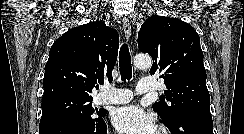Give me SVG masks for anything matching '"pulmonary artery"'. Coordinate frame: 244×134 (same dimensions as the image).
<instances>
[{"instance_id":"1","label":"pulmonary artery","mask_w":244,"mask_h":134,"mask_svg":"<svg viewBox=\"0 0 244 134\" xmlns=\"http://www.w3.org/2000/svg\"><path fill=\"white\" fill-rule=\"evenodd\" d=\"M163 87L150 78H143L137 86V93H149L162 90ZM133 94L128 89L115 88L110 85L103 87V92L96 98L99 104H125L131 101Z\"/></svg>"}]
</instances>
